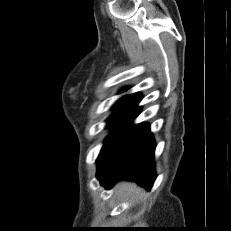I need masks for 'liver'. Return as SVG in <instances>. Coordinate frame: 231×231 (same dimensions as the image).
I'll return each instance as SVG.
<instances>
[{
  "instance_id": "6515ba94",
  "label": "liver",
  "mask_w": 231,
  "mask_h": 231,
  "mask_svg": "<svg viewBox=\"0 0 231 231\" xmlns=\"http://www.w3.org/2000/svg\"><path fill=\"white\" fill-rule=\"evenodd\" d=\"M116 189L119 194L130 198L138 197L143 192L136 184L130 182L119 183L116 185Z\"/></svg>"
}]
</instances>
